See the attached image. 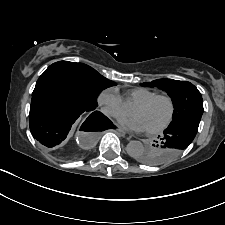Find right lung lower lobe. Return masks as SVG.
Instances as JSON below:
<instances>
[{"label":"right lung lower lobe","mask_w":225,"mask_h":225,"mask_svg":"<svg viewBox=\"0 0 225 225\" xmlns=\"http://www.w3.org/2000/svg\"><path fill=\"white\" fill-rule=\"evenodd\" d=\"M95 108L67 81L41 75L32 93L29 114L31 134L43 146L53 150L66 139L73 123L82 113L90 114L87 123L93 120L89 130L112 128L110 120Z\"/></svg>","instance_id":"98d812e1"}]
</instances>
